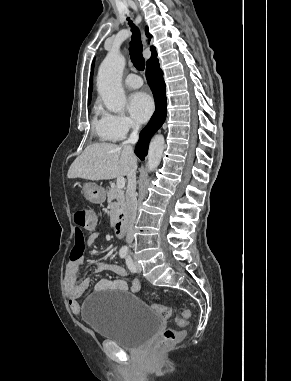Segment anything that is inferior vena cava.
I'll return each instance as SVG.
<instances>
[{
    "mask_svg": "<svg viewBox=\"0 0 291 381\" xmlns=\"http://www.w3.org/2000/svg\"><path fill=\"white\" fill-rule=\"evenodd\" d=\"M138 130H139V125H134L133 131L130 137L122 143V145L126 149L130 150L131 152H133L132 145L138 141ZM136 169H137V166L135 163L127 176L128 185H127V191H126L125 213H126V221H127L126 242L129 245H131L133 242V230H134V224H135L136 213H137Z\"/></svg>",
    "mask_w": 291,
    "mask_h": 381,
    "instance_id": "inferior-vena-cava-1",
    "label": "inferior vena cava"
}]
</instances>
